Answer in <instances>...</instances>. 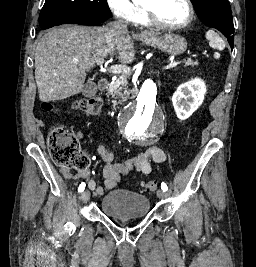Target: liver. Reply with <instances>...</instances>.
<instances>
[{"mask_svg":"<svg viewBox=\"0 0 256 267\" xmlns=\"http://www.w3.org/2000/svg\"><path fill=\"white\" fill-rule=\"evenodd\" d=\"M156 36L145 32L128 36L109 26H59L41 36L35 52V80L41 102L65 100L80 94L86 72L100 60L116 56L122 66L135 58L134 38Z\"/></svg>","mask_w":256,"mask_h":267,"instance_id":"1","label":"liver"}]
</instances>
